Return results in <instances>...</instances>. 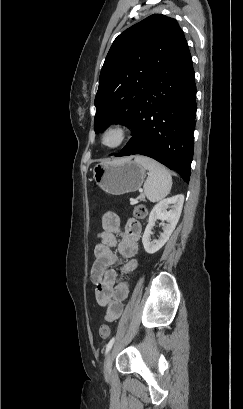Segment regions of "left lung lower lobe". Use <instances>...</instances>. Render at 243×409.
<instances>
[{"label": "left lung lower lobe", "mask_w": 243, "mask_h": 409, "mask_svg": "<svg viewBox=\"0 0 243 409\" xmlns=\"http://www.w3.org/2000/svg\"><path fill=\"white\" fill-rule=\"evenodd\" d=\"M196 86L186 40L152 80L130 129L132 137L117 157L149 156L189 182L193 158Z\"/></svg>", "instance_id": "left-lung-lower-lobe-1"}]
</instances>
